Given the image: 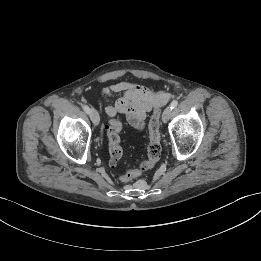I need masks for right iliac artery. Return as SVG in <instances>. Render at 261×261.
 Masks as SVG:
<instances>
[{
    "label": "right iliac artery",
    "instance_id": "1",
    "mask_svg": "<svg viewBox=\"0 0 261 261\" xmlns=\"http://www.w3.org/2000/svg\"><path fill=\"white\" fill-rule=\"evenodd\" d=\"M82 108L87 114H89L90 108L87 105H82Z\"/></svg>",
    "mask_w": 261,
    "mask_h": 261
}]
</instances>
